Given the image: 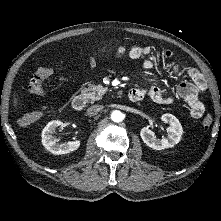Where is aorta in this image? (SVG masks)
Here are the masks:
<instances>
[{
    "label": "aorta",
    "instance_id": "obj_1",
    "mask_svg": "<svg viewBox=\"0 0 221 221\" xmlns=\"http://www.w3.org/2000/svg\"><path fill=\"white\" fill-rule=\"evenodd\" d=\"M123 118H124V116L121 111L115 110L111 114V119L114 122H121L123 120Z\"/></svg>",
    "mask_w": 221,
    "mask_h": 221
}]
</instances>
